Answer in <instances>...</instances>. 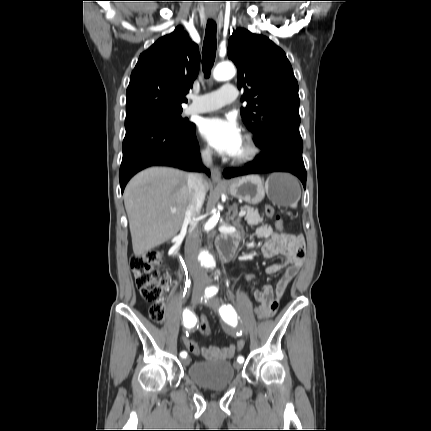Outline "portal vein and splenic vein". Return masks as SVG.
Here are the masks:
<instances>
[{"instance_id":"1","label":"portal vein and splenic vein","mask_w":431,"mask_h":431,"mask_svg":"<svg viewBox=\"0 0 431 431\" xmlns=\"http://www.w3.org/2000/svg\"><path fill=\"white\" fill-rule=\"evenodd\" d=\"M171 212L172 213H175L176 212V210L175 209H171ZM246 214V211L245 210H241L240 212H239V217H242V216H244Z\"/></svg>"}]
</instances>
